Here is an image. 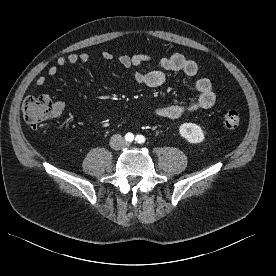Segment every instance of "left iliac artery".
I'll use <instances>...</instances> for the list:
<instances>
[{"label":"left iliac artery","mask_w":276,"mask_h":276,"mask_svg":"<svg viewBox=\"0 0 276 276\" xmlns=\"http://www.w3.org/2000/svg\"><path fill=\"white\" fill-rule=\"evenodd\" d=\"M135 141L139 144H142L145 142V137L143 135H137Z\"/></svg>","instance_id":"1"}]
</instances>
